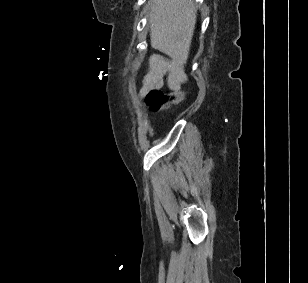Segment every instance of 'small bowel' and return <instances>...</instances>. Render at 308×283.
I'll return each instance as SVG.
<instances>
[{"label":"small bowel","instance_id":"small-bowel-1","mask_svg":"<svg viewBox=\"0 0 308 283\" xmlns=\"http://www.w3.org/2000/svg\"><path fill=\"white\" fill-rule=\"evenodd\" d=\"M178 66L168 59L155 57L151 59L149 69L142 79L140 96H145L150 90L160 89L167 73L176 74Z\"/></svg>","mask_w":308,"mask_h":283}]
</instances>
